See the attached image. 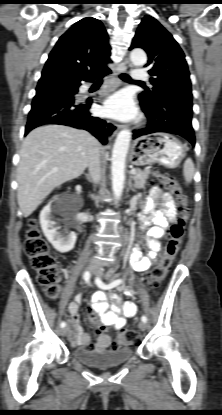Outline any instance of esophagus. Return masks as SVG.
<instances>
[{"instance_id": "34e87169", "label": "esophagus", "mask_w": 222, "mask_h": 415, "mask_svg": "<svg viewBox=\"0 0 222 415\" xmlns=\"http://www.w3.org/2000/svg\"><path fill=\"white\" fill-rule=\"evenodd\" d=\"M130 68H131V63L128 60H126L123 64V68L121 69V72H124ZM120 129H121L120 124H117L110 120L107 121L106 132H107V136L109 139H112Z\"/></svg>"}]
</instances>
